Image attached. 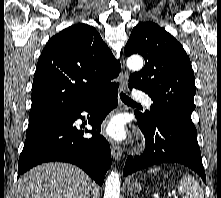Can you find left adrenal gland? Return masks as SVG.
Instances as JSON below:
<instances>
[{"label": "left adrenal gland", "mask_w": 221, "mask_h": 198, "mask_svg": "<svg viewBox=\"0 0 221 198\" xmlns=\"http://www.w3.org/2000/svg\"><path fill=\"white\" fill-rule=\"evenodd\" d=\"M131 198H135V197L131 194Z\"/></svg>", "instance_id": "obj_1"}]
</instances>
